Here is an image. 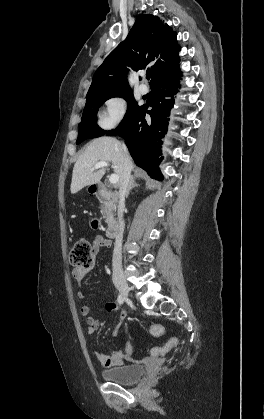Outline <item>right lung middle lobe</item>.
<instances>
[{"label": "right lung middle lobe", "instance_id": "1", "mask_svg": "<svg viewBox=\"0 0 264 419\" xmlns=\"http://www.w3.org/2000/svg\"><path fill=\"white\" fill-rule=\"evenodd\" d=\"M112 97H123L128 101V110L123 121L139 107L138 104L134 101L131 90L87 97L86 105L83 111V115H82V119H81V123L79 127L77 144L89 138L100 137L108 132V131L102 130L97 125L96 115H97L99 107L107 99L112 98Z\"/></svg>", "mask_w": 264, "mask_h": 419}]
</instances>
